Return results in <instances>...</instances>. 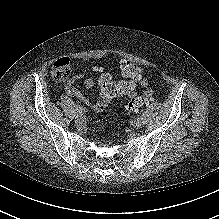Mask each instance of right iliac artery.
I'll return each mask as SVG.
<instances>
[{
    "mask_svg": "<svg viewBox=\"0 0 219 219\" xmlns=\"http://www.w3.org/2000/svg\"><path fill=\"white\" fill-rule=\"evenodd\" d=\"M77 110L78 112H81V113L85 112V109L81 106H77Z\"/></svg>",
    "mask_w": 219,
    "mask_h": 219,
    "instance_id": "82829eb1",
    "label": "right iliac artery"
}]
</instances>
